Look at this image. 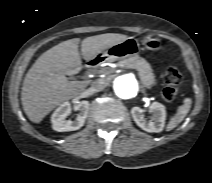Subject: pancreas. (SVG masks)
<instances>
[{
    "mask_svg": "<svg viewBox=\"0 0 212 183\" xmlns=\"http://www.w3.org/2000/svg\"><path fill=\"white\" fill-rule=\"evenodd\" d=\"M118 65L123 68L135 69L138 71L139 78L142 84L150 89L156 84L155 76L150 64L138 55L132 56L126 59H122L118 62Z\"/></svg>",
    "mask_w": 212,
    "mask_h": 183,
    "instance_id": "1",
    "label": "pancreas"
}]
</instances>
